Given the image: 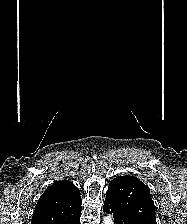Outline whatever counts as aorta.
<instances>
[{
    "label": "aorta",
    "mask_w": 187,
    "mask_h": 224,
    "mask_svg": "<svg viewBox=\"0 0 187 224\" xmlns=\"http://www.w3.org/2000/svg\"><path fill=\"white\" fill-rule=\"evenodd\" d=\"M103 224H113V218L111 215H107L103 219Z\"/></svg>",
    "instance_id": "1"
}]
</instances>
